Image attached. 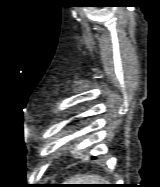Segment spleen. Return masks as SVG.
<instances>
[{
    "label": "spleen",
    "mask_w": 160,
    "mask_h": 187,
    "mask_svg": "<svg viewBox=\"0 0 160 187\" xmlns=\"http://www.w3.org/2000/svg\"><path fill=\"white\" fill-rule=\"evenodd\" d=\"M107 181L98 176H80L77 175L68 181V184H104Z\"/></svg>",
    "instance_id": "3e777b00"
}]
</instances>
